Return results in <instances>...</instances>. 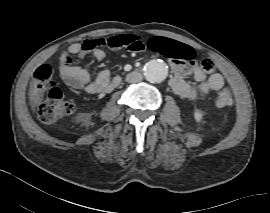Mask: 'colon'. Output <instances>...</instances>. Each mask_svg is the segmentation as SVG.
<instances>
[{
  "instance_id": "1",
  "label": "colon",
  "mask_w": 270,
  "mask_h": 213,
  "mask_svg": "<svg viewBox=\"0 0 270 213\" xmlns=\"http://www.w3.org/2000/svg\"><path fill=\"white\" fill-rule=\"evenodd\" d=\"M128 39L132 42L133 47L135 46V42L141 44L139 39L135 36H128ZM149 43H151L156 50L160 51L163 56L178 50V46L171 42L151 39ZM70 63L71 60L65 61V64ZM201 65L206 71L212 69V64L208 59H203ZM34 93L37 101V114L42 122L53 123L69 115L74 110L73 102L65 98L48 64L41 65L35 72ZM231 101L232 91L228 86L219 90L213 98V103L218 108L228 107Z\"/></svg>"
}]
</instances>
